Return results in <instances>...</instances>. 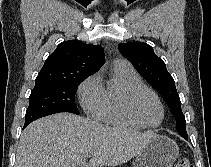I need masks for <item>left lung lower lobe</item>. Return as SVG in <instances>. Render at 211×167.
Returning <instances> with one entry per match:
<instances>
[{
	"label": "left lung lower lobe",
	"mask_w": 211,
	"mask_h": 167,
	"mask_svg": "<svg viewBox=\"0 0 211 167\" xmlns=\"http://www.w3.org/2000/svg\"><path fill=\"white\" fill-rule=\"evenodd\" d=\"M184 139H188V136L187 135H183L182 136Z\"/></svg>",
	"instance_id": "0a47b994"
}]
</instances>
